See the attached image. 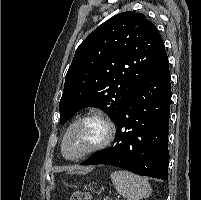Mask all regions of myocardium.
Here are the masks:
<instances>
[{
	"label": "myocardium",
	"mask_w": 201,
	"mask_h": 200,
	"mask_svg": "<svg viewBox=\"0 0 201 200\" xmlns=\"http://www.w3.org/2000/svg\"><path fill=\"white\" fill-rule=\"evenodd\" d=\"M88 121H95L102 126V128H103L102 138L94 146H92L85 152L81 153L80 155L75 156V157H69L66 154V142H67L69 134L77 125L84 123V122H88ZM115 135H116V127H115L113 121L107 115H105L104 113L99 112V111H93V112L86 113V114L80 116L79 118H77L68 127L67 131L65 132L63 140H62V144H61L62 154L67 160H70V161L80 160L84 157H87L91 154L99 152V151L107 148L108 146H110L115 139Z\"/></svg>",
	"instance_id": "obj_1"
}]
</instances>
